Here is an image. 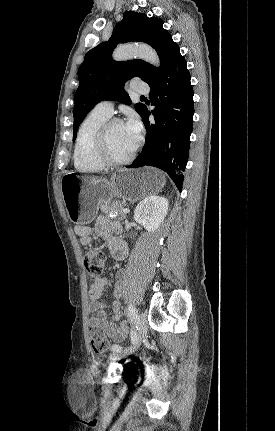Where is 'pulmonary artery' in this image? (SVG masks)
<instances>
[{"label":"pulmonary artery","instance_id":"pulmonary-artery-1","mask_svg":"<svg viewBox=\"0 0 275 431\" xmlns=\"http://www.w3.org/2000/svg\"><path fill=\"white\" fill-rule=\"evenodd\" d=\"M132 89L140 94H145L149 91L148 85L143 82H134L132 84ZM94 109L110 117L113 114V102L109 100L101 101L95 106Z\"/></svg>","mask_w":275,"mask_h":431}]
</instances>
